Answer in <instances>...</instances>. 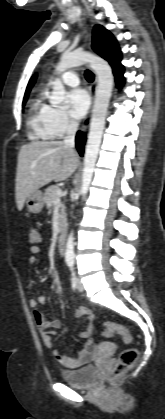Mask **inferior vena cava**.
Here are the masks:
<instances>
[{
  "label": "inferior vena cava",
  "mask_w": 165,
  "mask_h": 419,
  "mask_svg": "<svg viewBox=\"0 0 165 419\" xmlns=\"http://www.w3.org/2000/svg\"><path fill=\"white\" fill-rule=\"evenodd\" d=\"M79 123L76 120L71 119L69 121L66 136L64 138V144L69 147L73 148L75 145V135L78 129Z\"/></svg>",
  "instance_id": "1"
}]
</instances>
